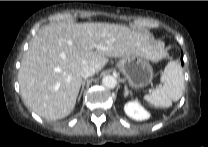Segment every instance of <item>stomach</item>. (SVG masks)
<instances>
[{
	"label": "stomach",
	"instance_id": "1",
	"mask_svg": "<svg viewBox=\"0 0 208 147\" xmlns=\"http://www.w3.org/2000/svg\"><path fill=\"white\" fill-rule=\"evenodd\" d=\"M132 88H143L151 83L153 69L147 59L139 55L122 57L117 63Z\"/></svg>",
	"mask_w": 208,
	"mask_h": 147
}]
</instances>
